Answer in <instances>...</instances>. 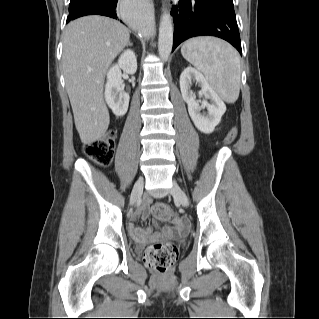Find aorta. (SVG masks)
Instances as JSON below:
<instances>
[{
	"mask_svg": "<svg viewBox=\"0 0 319 319\" xmlns=\"http://www.w3.org/2000/svg\"><path fill=\"white\" fill-rule=\"evenodd\" d=\"M142 32L148 31V24L140 22L138 24ZM173 45V24L170 14L165 10L162 14L159 26L158 52L163 61H167L172 51Z\"/></svg>",
	"mask_w": 319,
	"mask_h": 319,
	"instance_id": "762f6f07",
	"label": "aorta"
}]
</instances>
